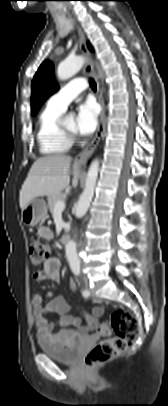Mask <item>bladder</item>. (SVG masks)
I'll return each instance as SVG.
<instances>
[{
  "mask_svg": "<svg viewBox=\"0 0 168 406\" xmlns=\"http://www.w3.org/2000/svg\"><path fill=\"white\" fill-rule=\"evenodd\" d=\"M38 344L44 354L63 364H73L80 356L78 346L56 345L40 337Z\"/></svg>",
  "mask_w": 168,
  "mask_h": 406,
  "instance_id": "bladder-1",
  "label": "bladder"
}]
</instances>
